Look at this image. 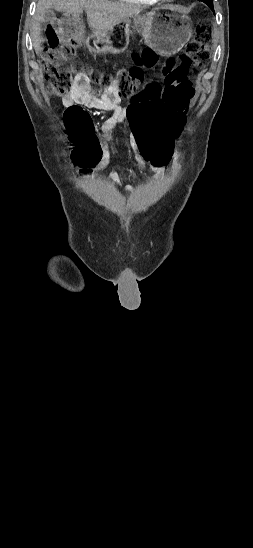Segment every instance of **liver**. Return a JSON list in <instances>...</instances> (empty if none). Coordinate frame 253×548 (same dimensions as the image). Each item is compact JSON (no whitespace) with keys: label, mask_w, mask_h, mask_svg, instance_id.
I'll list each match as a JSON object with an SVG mask.
<instances>
[{"label":"liver","mask_w":253,"mask_h":548,"mask_svg":"<svg viewBox=\"0 0 253 548\" xmlns=\"http://www.w3.org/2000/svg\"><path fill=\"white\" fill-rule=\"evenodd\" d=\"M50 9H55L75 18L82 15L83 10H85L89 27L94 34L100 36H105L110 30L128 21L141 11L138 6L109 0H39L30 31L36 53L42 50L43 38L40 36V22Z\"/></svg>","instance_id":"6515ba94"}]
</instances>
